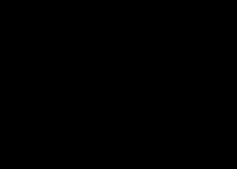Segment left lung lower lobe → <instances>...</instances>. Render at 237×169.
Instances as JSON below:
<instances>
[{
  "instance_id": "1",
  "label": "left lung lower lobe",
  "mask_w": 237,
  "mask_h": 169,
  "mask_svg": "<svg viewBox=\"0 0 237 169\" xmlns=\"http://www.w3.org/2000/svg\"><path fill=\"white\" fill-rule=\"evenodd\" d=\"M132 105L131 128L142 143L150 146L172 142L184 130L191 116L138 98L132 101Z\"/></svg>"
}]
</instances>
